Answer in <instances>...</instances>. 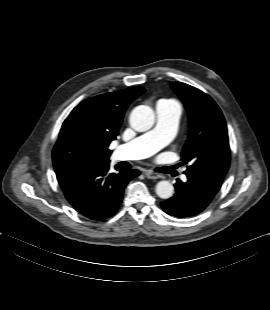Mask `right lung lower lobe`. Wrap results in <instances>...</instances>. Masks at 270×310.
<instances>
[{"label": "right lung lower lobe", "instance_id": "98d812e1", "mask_svg": "<svg viewBox=\"0 0 270 310\" xmlns=\"http://www.w3.org/2000/svg\"><path fill=\"white\" fill-rule=\"evenodd\" d=\"M110 173L109 164L96 165L56 173L66 199L81 215L103 221L114 215L121 204L123 192L138 170L116 166Z\"/></svg>", "mask_w": 270, "mask_h": 310}]
</instances>
